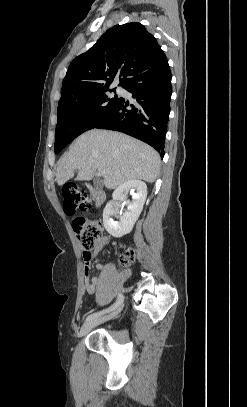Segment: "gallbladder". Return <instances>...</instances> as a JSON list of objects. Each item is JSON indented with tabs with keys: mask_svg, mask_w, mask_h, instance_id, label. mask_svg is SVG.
Segmentation results:
<instances>
[{
	"mask_svg": "<svg viewBox=\"0 0 247 407\" xmlns=\"http://www.w3.org/2000/svg\"><path fill=\"white\" fill-rule=\"evenodd\" d=\"M94 186H95L97 189L101 188V181H100L99 179H96V180L94 181Z\"/></svg>",
	"mask_w": 247,
	"mask_h": 407,
	"instance_id": "obj_1",
	"label": "gallbladder"
}]
</instances>
